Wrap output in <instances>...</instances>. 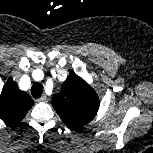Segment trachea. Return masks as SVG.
Instances as JSON below:
<instances>
[{
	"mask_svg": "<svg viewBox=\"0 0 153 153\" xmlns=\"http://www.w3.org/2000/svg\"><path fill=\"white\" fill-rule=\"evenodd\" d=\"M43 85L41 83H34L31 87V94L34 98H40L43 93Z\"/></svg>",
	"mask_w": 153,
	"mask_h": 153,
	"instance_id": "trachea-1",
	"label": "trachea"
}]
</instances>
